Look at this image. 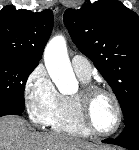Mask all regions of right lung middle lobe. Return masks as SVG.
Instances as JSON below:
<instances>
[{"instance_id": "1", "label": "right lung middle lobe", "mask_w": 139, "mask_h": 150, "mask_svg": "<svg viewBox=\"0 0 139 150\" xmlns=\"http://www.w3.org/2000/svg\"><path fill=\"white\" fill-rule=\"evenodd\" d=\"M37 64L0 57V106L24 111V88Z\"/></svg>"}]
</instances>
